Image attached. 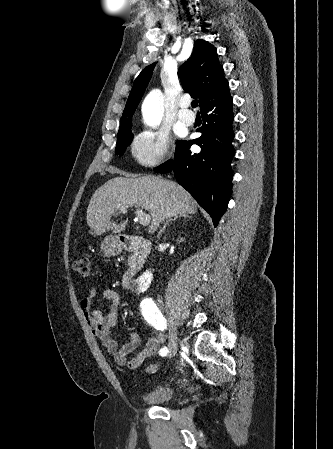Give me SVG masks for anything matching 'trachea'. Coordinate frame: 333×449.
Returning <instances> with one entry per match:
<instances>
[{
  "label": "trachea",
  "mask_w": 333,
  "mask_h": 449,
  "mask_svg": "<svg viewBox=\"0 0 333 449\" xmlns=\"http://www.w3.org/2000/svg\"><path fill=\"white\" fill-rule=\"evenodd\" d=\"M197 105H198V101L197 100H193L192 103H191V106L193 108H195V107H197Z\"/></svg>",
  "instance_id": "3493384b"
}]
</instances>
